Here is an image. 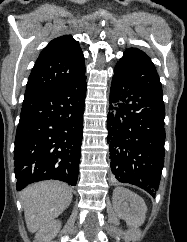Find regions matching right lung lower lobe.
Instances as JSON below:
<instances>
[{
	"mask_svg": "<svg viewBox=\"0 0 187 242\" xmlns=\"http://www.w3.org/2000/svg\"><path fill=\"white\" fill-rule=\"evenodd\" d=\"M85 97L86 76L24 97L14 148L17 190L46 179L76 185Z\"/></svg>",
	"mask_w": 187,
	"mask_h": 242,
	"instance_id": "obj_1",
	"label": "right lung lower lobe"
}]
</instances>
